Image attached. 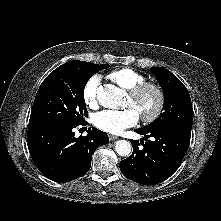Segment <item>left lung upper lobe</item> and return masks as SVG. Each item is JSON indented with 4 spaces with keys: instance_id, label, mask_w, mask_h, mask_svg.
Returning <instances> with one entry per match:
<instances>
[{
    "instance_id": "obj_1",
    "label": "left lung upper lobe",
    "mask_w": 221,
    "mask_h": 221,
    "mask_svg": "<svg viewBox=\"0 0 221 221\" xmlns=\"http://www.w3.org/2000/svg\"><path fill=\"white\" fill-rule=\"evenodd\" d=\"M150 71L155 74L164 91L163 113L154 122L141 129H177L191 133L193 108L187 88L174 74L163 67H152Z\"/></svg>"
}]
</instances>
